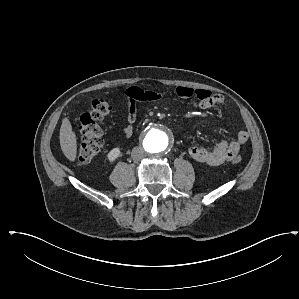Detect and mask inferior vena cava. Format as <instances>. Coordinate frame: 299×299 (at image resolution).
<instances>
[{
  "instance_id": "602c4592",
  "label": "inferior vena cava",
  "mask_w": 299,
  "mask_h": 299,
  "mask_svg": "<svg viewBox=\"0 0 299 299\" xmlns=\"http://www.w3.org/2000/svg\"><path fill=\"white\" fill-rule=\"evenodd\" d=\"M132 159L134 161H139L144 156V150L141 147H134L131 153Z\"/></svg>"
}]
</instances>
